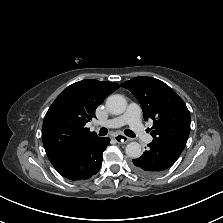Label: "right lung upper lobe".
I'll return each instance as SVG.
<instances>
[{
	"label": "right lung upper lobe",
	"instance_id": "obj_1",
	"mask_svg": "<svg viewBox=\"0 0 223 223\" xmlns=\"http://www.w3.org/2000/svg\"><path fill=\"white\" fill-rule=\"evenodd\" d=\"M120 86L114 82L82 80L68 86L47 111L42 139L50 162L75 152L98 136L85 124L95 109Z\"/></svg>",
	"mask_w": 223,
	"mask_h": 223
}]
</instances>
